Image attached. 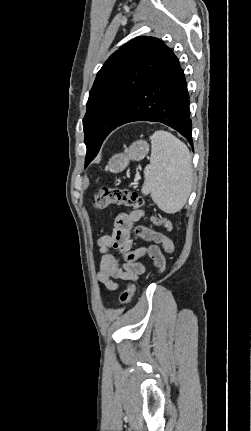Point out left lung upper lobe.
Wrapping results in <instances>:
<instances>
[{"instance_id":"left-lung-upper-lobe-1","label":"left lung upper lobe","mask_w":251,"mask_h":431,"mask_svg":"<svg viewBox=\"0 0 251 431\" xmlns=\"http://www.w3.org/2000/svg\"><path fill=\"white\" fill-rule=\"evenodd\" d=\"M164 46L158 38L137 37L115 51L97 73L83 119L85 167L124 117Z\"/></svg>"}]
</instances>
